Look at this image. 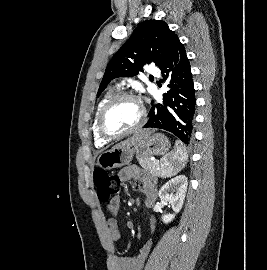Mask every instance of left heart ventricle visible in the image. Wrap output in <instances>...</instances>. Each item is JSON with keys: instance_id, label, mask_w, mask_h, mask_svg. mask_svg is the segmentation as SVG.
Wrapping results in <instances>:
<instances>
[{"instance_id": "1", "label": "left heart ventricle", "mask_w": 267, "mask_h": 270, "mask_svg": "<svg viewBox=\"0 0 267 270\" xmlns=\"http://www.w3.org/2000/svg\"><path fill=\"white\" fill-rule=\"evenodd\" d=\"M141 107L133 100L116 104L106 115L105 126L112 134H118L134 127L140 120Z\"/></svg>"}]
</instances>
